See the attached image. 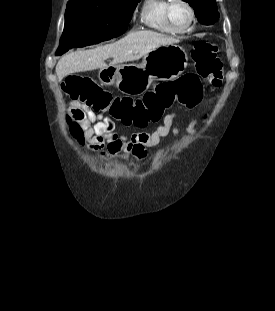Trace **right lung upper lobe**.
I'll use <instances>...</instances> for the list:
<instances>
[{"label":"right lung upper lobe","mask_w":275,"mask_h":311,"mask_svg":"<svg viewBox=\"0 0 275 311\" xmlns=\"http://www.w3.org/2000/svg\"><path fill=\"white\" fill-rule=\"evenodd\" d=\"M70 1H86V0H70Z\"/></svg>","instance_id":"obj_1"}]
</instances>
